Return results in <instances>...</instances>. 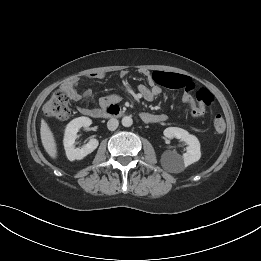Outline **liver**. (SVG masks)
<instances>
[{
	"label": "liver",
	"instance_id": "obj_1",
	"mask_svg": "<svg viewBox=\"0 0 261 261\" xmlns=\"http://www.w3.org/2000/svg\"><path fill=\"white\" fill-rule=\"evenodd\" d=\"M40 135L45 151L51 158L55 159L57 157V145L54 135L44 119L41 120Z\"/></svg>",
	"mask_w": 261,
	"mask_h": 261
}]
</instances>
